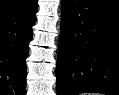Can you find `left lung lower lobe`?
Listing matches in <instances>:
<instances>
[{
  "instance_id": "0a47b994",
  "label": "left lung lower lobe",
  "mask_w": 119,
  "mask_h": 95,
  "mask_svg": "<svg viewBox=\"0 0 119 95\" xmlns=\"http://www.w3.org/2000/svg\"><path fill=\"white\" fill-rule=\"evenodd\" d=\"M58 95H119V3L62 0Z\"/></svg>"
}]
</instances>
